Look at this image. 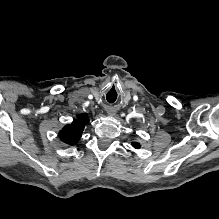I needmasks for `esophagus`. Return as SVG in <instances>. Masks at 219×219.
I'll return each instance as SVG.
<instances>
[{
	"instance_id": "obj_1",
	"label": "esophagus",
	"mask_w": 219,
	"mask_h": 219,
	"mask_svg": "<svg viewBox=\"0 0 219 219\" xmlns=\"http://www.w3.org/2000/svg\"><path fill=\"white\" fill-rule=\"evenodd\" d=\"M107 113H108L109 115H114V114H115V109H114V108H108V109H107Z\"/></svg>"
}]
</instances>
